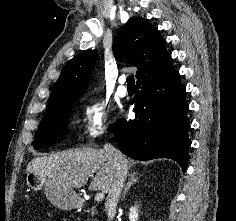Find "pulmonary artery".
<instances>
[{
    "mask_svg": "<svg viewBox=\"0 0 236 221\" xmlns=\"http://www.w3.org/2000/svg\"><path fill=\"white\" fill-rule=\"evenodd\" d=\"M126 81V77H121L119 80V86L117 88V93L120 97H125L128 94L127 88L124 86V83Z\"/></svg>",
    "mask_w": 236,
    "mask_h": 221,
    "instance_id": "1",
    "label": "pulmonary artery"
}]
</instances>
